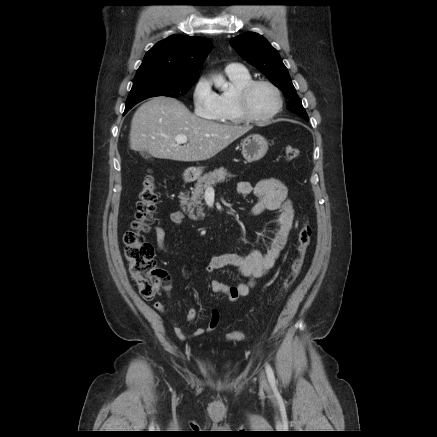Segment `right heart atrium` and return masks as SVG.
<instances>
[{"mask_svg":"<svg viewBox=\"0 0 437 437\" xmlns=\"http://www.w3.org/2000/svg\"><path fill=\"white\" fill-rule=\"evenodd\" d=\"M192 103L195 114L202 118L214 119L218 114L217 94L205 79H200L195 84L192 92Z\"/></svg>","mask_w":437,"mask_h":437,"instance_id":"d8ad5b80","label":"right heart atrium"}]
</instances>
